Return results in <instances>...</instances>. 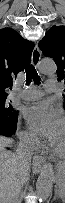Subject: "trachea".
Here are the masks:
<instances>
[{"label":"trachea","instance_id":"3493384b","mask_svg":"<svg viewBox=\"0 0 65 203\" xmlns=\"http://www.w3.org/2000/svg\"><path fill=\"white\" fill-rule=\"evenodd\" d=\"M26 72V82L29 84L31 80L35 82V84H40V77L33 65L27 66L25 69Z\"/></svg>","mask_w":65,"mask_h":203}]
</instances>
